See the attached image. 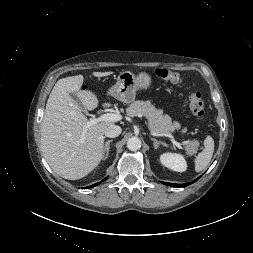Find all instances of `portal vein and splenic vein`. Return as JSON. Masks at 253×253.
I'll return each mask as SVG.
<instances>
[{
  "label": "portal vein and splenic vein",
  "mask_w": 253,
  "mask_h": 253,
  "mask_svg": "<svg viewBox=\"0 0 253 253\" xmlns=\"http://www.w3.org/2000/svg\"><path fill=\"white\" fill-rule=\"evenodd\" d=\"M122 119V116L119 114H114V113H106V114H102L99 118L97 119H92L91 121H89L87 123L86 127H90L93 124H96L97 122H102V121H108V122H117L120 121ZM166 136L170 137L171 140L173 142H175V140L173 139V137L169 134H166Z\"/></svg>",
  "instance_id": "18ae733b"
}]
</instances>
